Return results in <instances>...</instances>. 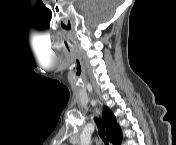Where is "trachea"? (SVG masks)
<instances>
[{"label":"trachea","instance_id":"1","mask_svg":"<svg viewBox=\"0 0 176 145\" xmlns=\"http://www.w3.org/2000/svg\"><path fill=\"white\" fill-rule=\"evenodd\" d=\"M95 122H96V125L98 127L99 136L105 142V145H108V142L106 141L105 136H104V133H105V125H104V123L99 118H95Z\"/></svg>","mask_w":176,"mask_h":145}]
</instances>
